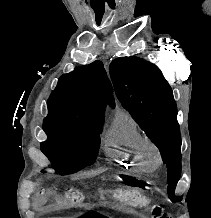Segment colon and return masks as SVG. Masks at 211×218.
I'll list each match as a JSON object with an SVG mask.
<instances>
[{"mask_svg": "<svg viewBox=\"0 0 211 218\" xmlns=\"http://www.w3.org/2000/svg\"><path fill=\"white\" fill-rule=\"evenodd\" d=\"M98 192L102 196L108 195L121 202L137 207H145L151 202L145 190L138 186L101 187ZM64 197L68 200H81L84 197V191L78 188H70L65 192ZM165 217L169 218V216Z\"/></svg>", "mask_w": 211, "mask_h": 218, "instance_id": "1", "label": "colon"}]
</instances>
